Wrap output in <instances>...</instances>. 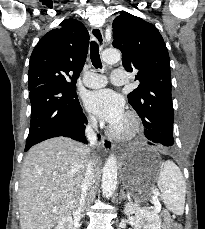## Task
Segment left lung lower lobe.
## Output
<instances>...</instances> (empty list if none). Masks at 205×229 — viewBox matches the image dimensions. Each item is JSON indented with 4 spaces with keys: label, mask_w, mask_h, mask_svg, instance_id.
<instances>
[{
    "label": "left lung lower lobe",
    "mask_w": 205,
    "mask_h": 229,
    "mask_svg": "<svg viewBox=\"0 0 205 229\" xmlns=\"http://www.w3.org/2000/svg\"><path fill=\"white\" fill-rule=\"evenodd\" d=\"M145 136L151 141L148 142V144L151 145H154V143H167V140L171 138L170 135L165 132V129L163 128H153L152 132L146 133Z\"/></svg>",
    "instance_id": "obj_1"
}]
</instances>
